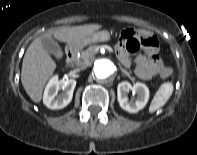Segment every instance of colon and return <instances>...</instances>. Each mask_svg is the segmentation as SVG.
I'll return each mask as SVG.
<instances>
[{
  "label": "colon",
  "mask_w": 197,
  "mask_h": 155,
  "mask_svg": "<svg viewBox=\"0 0 197 155\" xmlns=\"http://www.w3.org/2000/svg\"><path fill=\"white\" fill-rule=\"evenodd\" d=\"M121 37L128 41V48L130 51H137L141 47H148L150 45H157L155 37H141L135 33L133 29H126L122 32ZM172 73L170 68H165L162 73V78H167Z\"/></svg>",
  "instance_id": "1"
}]
</instances>
